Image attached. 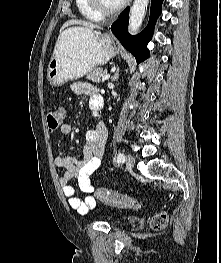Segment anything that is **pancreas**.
Returning <instances> with one entry per match:
<instances>
[{
  "label": "pancreas",
  "instance_id": "cf45deb5",
  "mask_svg": "<svg viewBox=\"0 0 221 263\" xmlns=\"http://www.w3.org/2000/svg\"><path fill=\"white\" fill-rule=\"evenodd\" d=\"M105 74H107V71H103L102 68L95 67L87 74L86 78L94 83H104L105 80L102 79V76Z\"/></svg>",
  "mask_w": 221,
  "mask_h": 263
}]
</instances>
